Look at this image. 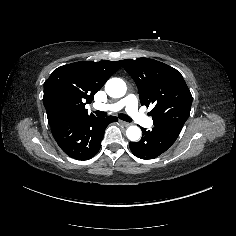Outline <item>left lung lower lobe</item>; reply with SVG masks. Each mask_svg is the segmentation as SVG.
Masks as SVG:
<instances>
[{
    "instance_id": "1",
    "label": "left lung lower lobe",
    "mask_w": 236,
    "mask_h": 236,
    "mask_svg": "<svg viewBox=\"0 0 236 236\" xmlns=\"http://www.w3.org/2000/svg\"><path fill=\"white\" fill-rule=\"evenodd\" d=\"M181 129L156 126L151 131L142 128L143 136L139 142H130L131 152L141 159H154L169 149L180 134Z\"/></svg>"
}]
</instances>
